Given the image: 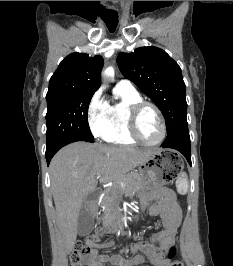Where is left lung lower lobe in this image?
I'll use <instances>...</instances> for the list:
<instances>
[{
  "instance_id": "1",
  "label": "left lung lower lobe",
  "mask_w": 233,
  "mask_h": 266,
  "mask_svg": "<svg viewBox=\"0 0 233 266\" xmlns=\"http://www.w3.org/2000/svg\"><path fill=\"white\" fill-rule=\"evenodd\" d=\"M163 148H172L181 152L188 163L191 165L190 156V137L187 120L184 119L170 132H167V138L161 145Z\"/></svg>"
}]
</instances>
